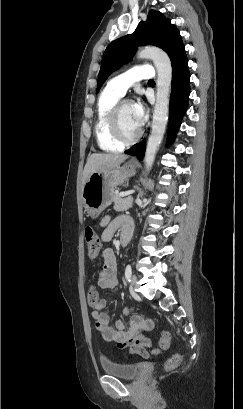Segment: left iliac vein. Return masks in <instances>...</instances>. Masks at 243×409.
Returning a JSON list of instances; mask_svg holds the SVG:
<instances>
[{"mask_svg":"<svg viewBox=\"0 0 243 409\" xmlns=\"http://www.w3.org/2000/svg\"><path fill=\"white\" fill-rule=\"evenodd\" d=\"M131 286H134L136 283H137V276L136 275H133L132 277H131Z\"/></svg>","mask_w":243,"mask_h":409,"instance_id":"1","label":"left iliac vein"}]
</instances>
